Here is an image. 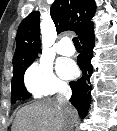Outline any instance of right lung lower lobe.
Masks as SVG:
<instances>
[{"mask_svg":"<svg viewBox=\"0 0 117 131\" xmlns=\"http://www.w3.org/2000/svg\"><path fill=\"white\" fill-rule=\"evenodd\" d=\"M80 41L82 43V53L78 56L77 61L83 75L77 81L70 82V87L72 89V97L70 101L78 110L80 117L84 118L91 101L90 76L92 74L91 58L95 43L94 33L92 32L84 36Z\"/></svg>","mask_w":117,"mask_h":131,"instance_id":"obj_1","label":"right lung lower lobe"}]
</instances>
